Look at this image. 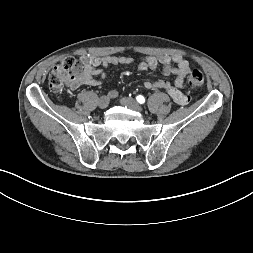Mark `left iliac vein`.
I'll use <instances>...</instances> for the list:
<instances>
[{"instance_id":"4c4485c4","label":"left iliac vein","mask_w":253,"mask_h":253,"mask_svg":"<svg viewBox=\"0 0 253 253\" xmlns=\"http://www.w3.org/2000/svg\"><path fill=\"white\" fill-rule=\"evenodd\" d=\"M121 104L137 112H142L143 108L141 105L132 98L124 97L120 100Z\"/></svg>"}]
</instances>
